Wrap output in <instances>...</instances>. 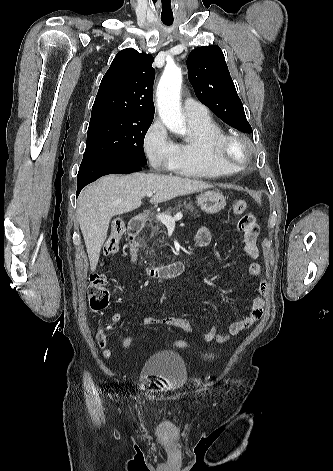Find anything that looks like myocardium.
<instances>
[{"instance_id": "f54148a6", "label": "myocardium", "mask_w": 333, "mask_h": 471, "mask_svg": "<svg viewBox=\"0 0 333 471\" xmlns=\"http://www.w3.org/2000/svg\"><path fill=\"white\" fill-rule=\"evenodd\" d=\"M250 149L245 138L227 135L217 147V157L223 164L237 170L247 165Z\"/></svg>"}]
</instances>
